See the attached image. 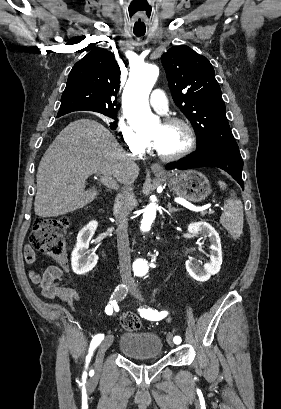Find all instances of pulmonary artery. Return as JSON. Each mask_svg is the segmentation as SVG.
<instances>
[{
    "instance_id": "obj_1",
    "label": "pulmonary artery",
    "mask_w": 281,
    "mask_h": 409,
    "mask_svg": "<svg viewBox=\"0 0 281 409\" xmlns=\"http://www.w3.org/2000/svg\"><path fill=\"white\" fill-rule=\"evenodd\" d=\"M149 106H154L156 110L164 111L163 106L168 105V98L165 97L164 90H153L152 97H149L147 100Z\"/></svg>"
}]
</instances>
